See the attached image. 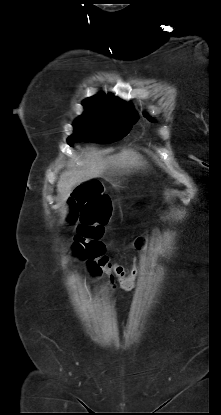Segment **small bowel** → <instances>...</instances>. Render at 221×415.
Wrapping results in <instances>:
<instances>
[{
    "instance_id": "small-bowel-1",
    "label": "small bowel",
    "mask_w": 221,
    "mask_h": 415,
    "mask_svg": "<svg viewBox=\"0 0 221 415\" xmlns=\"http://www.w3.org/2000/svg\"><path fill=\"white\" fill-rule=\"evenodd\" d=\"M110 263H111V262H110ZM128 273H129V271H128ZM111 284H112L113 288H116L117 283H111Z\"/></svg>"
}]
</instances>
